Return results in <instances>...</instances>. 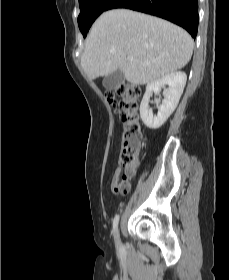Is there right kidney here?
I'll list each match as a JSON object with an SVG mask.
<instances>
[{
	"mask_svg": "<svg viewBox=\"0 0 229 280\" xmlns=\"http://www.w3.org/2000/svg\"><path fill=\"white\" fill-rule=\"evenodd\" d=\"M186 80V73L177 71L147 84L146 92L140 105V116L148 128H160L174 112L183 93ZM166 85H168V88L163 93L164 100L158 107L157 115H153L152 110L149 108L150 97L153 92L159 93Z\"/></svg>",
	"mask_w": 229,
	"mask_h": 280,
	"instance_id": "1",
	"label": "right kidney"
}]
</instances>
